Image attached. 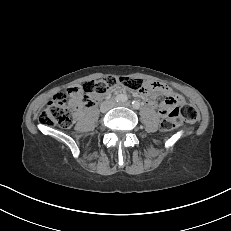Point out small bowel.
<instances>
[{
  "mask_svg": "<svg viewBox=\"0 0 231 231\" xmlns=\"http://www.w3.org/2000/svg\"><path fill=\"white\" fill-rule=\"evenodd\" d=\"M148 84H155L157 89L154 94H163L166 96L164 102L157 104L151 96L154 94H144L143 99L148 103V105L152 108H156L158 113L161 116H165V112L170 109V106L173 104H182L184 99L181 95L175 93L170 87L158 84V83H148ZM122 90L121 87H116L113 89L114 92H120ZM69 93L74 100H81L82 99V92L79 86H73L69 89ZM81 114V107L78 109V115Z\"/></svg>",
  "mask_w": 231,
  "mask_h": 231,
  "instance_id": "c3829d8e",
  "label": "small bowel"
}]
</instances>
